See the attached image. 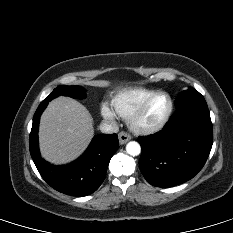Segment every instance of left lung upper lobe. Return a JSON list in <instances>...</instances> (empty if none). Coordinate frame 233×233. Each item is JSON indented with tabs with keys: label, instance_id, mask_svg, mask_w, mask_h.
<instances>
[{
	"label": "left lung upper lobe",
	"instance_id": "5c2ea615",
	"mask_svg": "<svg viewBox=\"0 0 233 233\" xmlns=\"http://www.w3.org/2000/svg\"><path fill=\"white\" fill-rule=\"evenodd\" d=\"M195 102L206 103L204 97L197 90L190 88L189 90L183 91L178 95L177 99L175 100V106L176 109H178L189 103Z\"/></svg>",
	"mask_w": 233,
	"mask_h": 233
}]
</instances>
